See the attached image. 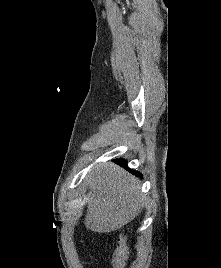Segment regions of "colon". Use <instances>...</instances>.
<instances>
[{"label": "colon", "mask_w": 221, "mask_h": 268, "mask_svg": "<svg viewBox=\"0 0 221 268\" xmlns=\"http://www.w3.org/2000/svg\"><path fill=\"white\" fill-rule=\"evenodd\" d=\"M128 248L124 238H121L114 251L112 264L114 268H123L127 260Z\"/></svg>", "instance_id": "colon-1"}]
</instances>
